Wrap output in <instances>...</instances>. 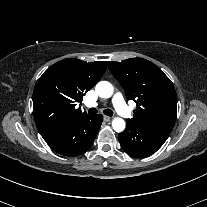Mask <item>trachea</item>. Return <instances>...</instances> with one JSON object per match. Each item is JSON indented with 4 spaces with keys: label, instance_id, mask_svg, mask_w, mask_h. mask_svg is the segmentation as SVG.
I'll return each instance as SVG.
<instances>
[{
    "label": "trachea",
    "instance_id": "1",
    "mask_svg": "<svg viewBox=\"0 0 207 207\" xmlns=\"http://www.w3.org/2000/svg\"><path fill=\"white\" fill-rule=\"evenodd\" d=\"M88 113H89L90 115H94V114L97 113V109H96V108H90V109L88 110ZM103 113H104L105 115H107V116H112V115H113V111L110 110V109H105V110L103 111Z\"/></svg>",
    "mask_w": 207,
    "mask_h": 207
}]
</instances>
